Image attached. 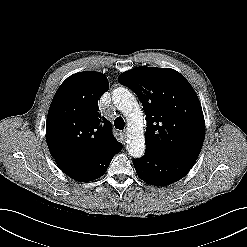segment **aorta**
<instances>
[{
  "label": "aorta",
  "instance_id": "1",
  "mask_svg": "<svg viewBox=\"0 0 247 247\" xmlns=\"http://www.w3.org/2000/svg\"><path fill=\"white\" fill-rule=\"evenodd\" d=\"M112 101L127 118V150L129 154L134 158H141L145 152V118L143 111L134 95L124 87H118L113 90Z\"/></svg>",
  "mask_w": 247,
  "mask_h": 247
}]
</instances>
